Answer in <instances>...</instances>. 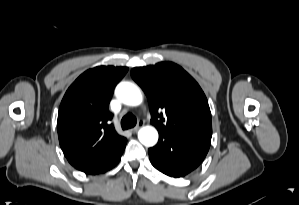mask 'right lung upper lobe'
I'll list each match as a JSON object with an SVG mask.
<instances>
[{
  "label": "right lung upper lobe",
  "mask_w": 299,
  "mask_h": 205,
  "mask_svg": "<svg viewBox=\"0 0 299 205\" xmlns=\"http://www.w3.org/2000/svg\"><path fill=\"white\" fill-rule=\"evenodd\" d=\"M127 67L99 66L80 75L65 93L58 113V137L69 163L86 174L108 170L120 157L126 138L110 124L108 105Z\"/></svg>",
  "instance_id": "1"
}]
</instances>
